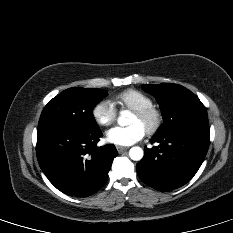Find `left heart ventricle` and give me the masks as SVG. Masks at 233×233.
<instances>
[{
  "label": "left heart ventricle",
  "mask_w": 233,
  "mask_h": 233,
  "mask_svg": "<svg viewBox=\"0 0 233 233\" xmlns=\"http://www.w3.org/2000/svg\"><path fill=\"white\" fill-rule=\"evenodd\" d=\"M129 124H139L141 125L145 130L148 127V122L141 120L140 118H138L135 114H133L129 120Z\"/></svg>",
  "instance_id": "left-heart-ventricle-1"
}]
</instances>
